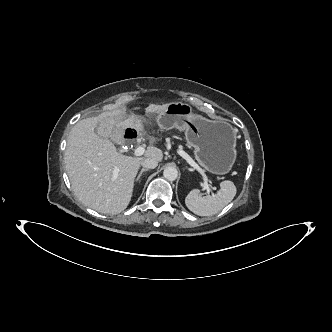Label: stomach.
<instances>
[{
	"instance_id": "obj_1",
	"label": "stomach",
	"mask_w": 332,
	"mask_h": 332,
	"mask_svg": "<svg viewBox=\"0 0 332 332\" xmlns=\"http://www.w3.org/2000/svg\"><path fill=\"white\" fill-rule=\"evenodd\" d=\"M161 130H185L186 140L205 171L224 175L231 171L237 157L236 134L224 121H211L192 113L187 103L171 102L157 117Z\"/></svg>"
}]
</instances>
